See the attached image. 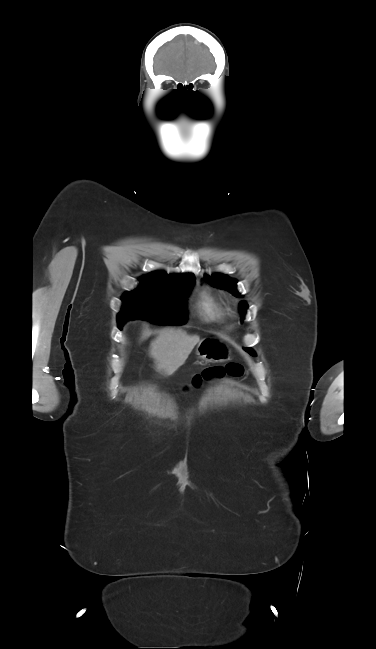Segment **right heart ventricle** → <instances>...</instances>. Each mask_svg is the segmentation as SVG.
Here are the masks:
<instances>
[{"label":"right heart ventricle","mask_w":376,"mask_h":649,"mask_svg":"<svg viewBox=\"0 0 376 649\" xmlns=\"http://www.w3.org/2000/svg\"><path fill=\"white\" fill-rule=\"evenodd\" d=\"M199 308L202 315L211 320H223L226 308L213 294L203 291L199 295Z\"/></svg>","instance_id":"e07e8e85"}]
</instances>
